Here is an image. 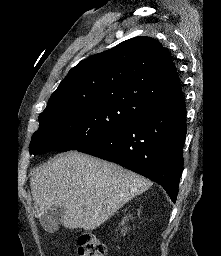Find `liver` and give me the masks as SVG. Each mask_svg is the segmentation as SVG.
<instances>
[{
  "instance_id": "6515ba94",
  "label": "liver",
  "mask_w": 221,
  "mask_h": 256,
  "mask_svg": "<svg viewBox=\"0 0 221 256\" xmlns=\"http://www.w3.org/2000/svg\"><path fill=\"white\" fill-rule=\"evenodd\" d=\"M152 182L111 162L70 151L35 169L30 181L35 216L60 207L65 228L94 230Z\"/></svg>"
}]
</instances>
